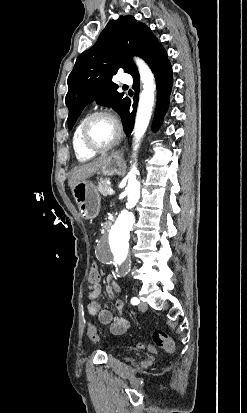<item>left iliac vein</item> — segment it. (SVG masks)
Segmentation results:
<instances>
[{
  "mask_svg": "<svg viewBox=\"0 0 247 413\" xmlns=\"http://www.w3.org/2000/svg\"><path fill=\"white\" fill-rule=\"evenodd\" d=\"M138 308H139V311L143 312L147 309V305L143 301H140Z\"/></svg>",
  "mask_w": 247,
  "mask_h": 413,
  "instance_id": "obj_1",
  "label": "left iliac vein"
}]
</instances>
